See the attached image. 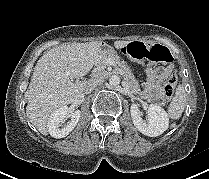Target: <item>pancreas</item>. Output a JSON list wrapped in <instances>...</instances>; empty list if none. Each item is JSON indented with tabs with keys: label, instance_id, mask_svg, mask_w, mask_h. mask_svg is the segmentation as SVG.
<instances>
[{
	"label": "pancreas",
	"instance_id": "1",
	"mask_svg": "<svg viewBox=\"0 0 209 179\" xmlns=\"http://www.w3.org/2000/svg\"><path fill=\"white\" fill-rule=\"evenodd\" d=\"M111 58L114 63L118 65L120 68V73L122 74L126 84L129 89L134 93L138 94L140 92V85L138 81L135 79V76L125 63V61L121 60L120 57L114 51H105L104 56L99 59L96 64V68L93 72V76L95 78H104L108 74L106 71V59Z\"/></svg>",
	"mask_w": 209,
	"mask_h": 179
}]
</instances>
